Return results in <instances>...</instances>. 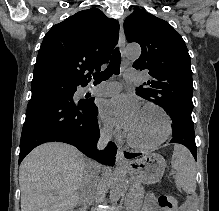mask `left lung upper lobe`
<instances>
[{"label":"left lung upper lobe","mask_w":219,"mask_h":211,"mask_svg":"<svg viewBox=\"0 0 219 211\" xmlns=\"http://www.w3.org/2000/svg\"><path fill=\"white\" fill-rule=\"evenodd\" d=\"M128 42L140 44L142 52L133 63L149 70L151 79L136 88V94L162 107L172 128L194 126L190 56L181 35L166 21L136 9L124 22Z\"/></svg>","instance_id":"left-lung-upper-lobe-1"}]
</instances>
